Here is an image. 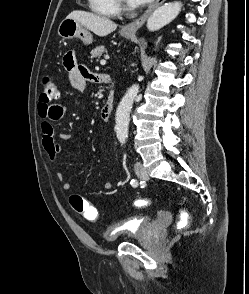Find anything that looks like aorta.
<instances>
[{"instance_id": "obj_1", "label": "aorta", "mask_w": 249, "mask_h": 294, "mask_svg": "<svg viewBox=\"0 0 249 294\" xmlns=\"http://www.w3.org/2000/svg\"><path fill=\"white\" fill-rule=\"evenodd\" d=\"M182 3H166L157 8L147 20L149 31H156L174 20L181 11ZM139 93V85H132L121 99L115 115L116 136L121 144H124L128 138V128L130 121V112Z\"/></svg>"}]
</instances>
